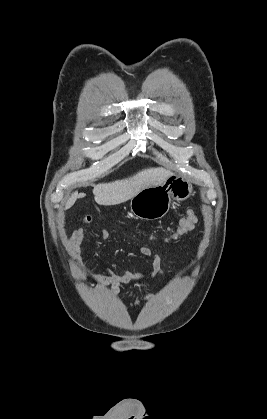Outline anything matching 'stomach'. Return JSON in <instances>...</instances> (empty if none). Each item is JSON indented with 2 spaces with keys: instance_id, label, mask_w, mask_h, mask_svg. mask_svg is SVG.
I'll return each instance as SVG.
<instances>
[{
  "instance_id": "1",
  "label": "stomach",
  "mask_w": 267,
  "mask_h": 419,
  "mask_svg": "<svg viewBox=\"0 0 267 419\" xmlns=\"http://www.w3.org/2000/svg\"><path fill=\"white\" fill-rule=\"evenodd\" d=\"M193 194L192 183L177 174H171L163 183L137 193L130 203L131 212L140 219L155 220L167 214L172 199L184 201Z\"/></svg>"
}]
</instances>
